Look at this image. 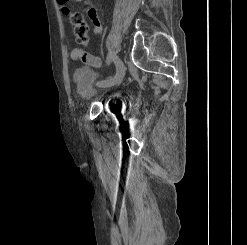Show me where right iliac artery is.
<instances>
[{
	"label": "right iliac artery",
	"instance_id": "1",
	"mask_svg": "<svg viewBox=\"0 0 247 245\" xmlns=\"http://www.w3.org/2000/svg\"><path fill=\"white\" fill-rule=\"evenodd\" d=\"M111 59H112V58H111V56L109 55V56H108V63L106 64L107 66H108L109 63L111 62Z\"/></svg>",
	"mask_w": 247,
	"mask_h": 245
}]
</instances>
